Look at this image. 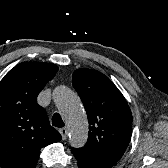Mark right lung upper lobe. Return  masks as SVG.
<instances>
[{
	"mask_svg": "<svg viewBox=\"0 0 168 168\" xmlns=\"http://www.w3.org/2000/svg\"><path fill=\"white\" fill-rule=\"evenodd\" d=\"M52 63L22 62L0 81V166L35 168L40 149L62 139L37 96L53 79Z\"/></svg>",
	"mask_w": 168,
	"mask_h": 168,
	"instance_id": "obj_1",
	"label": "right lung upper lobe"
}]
</instances>
